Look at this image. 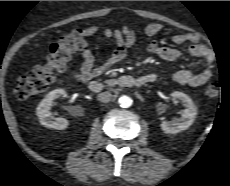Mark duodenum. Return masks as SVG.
<instances>
[{
  "label": "duodenum",
  "mask_w": 230,
  "mask_h": 186,
  "mask_svg": "<svg viewBox=\"0 0 230 186\" xmlns=\"http://www.w3.org/2000/svg\"><path fill=\"white\" fill-rule=\"evenodd\" d=\"M145 84L142 77H134L131 75H124L117 80V85L127 88H138ZM105 86L98 80H91L88 83V89L93 93H100L104 90Z\"/></svg>",
  "instance_id": "duodenum-1"
}]
</instances>
